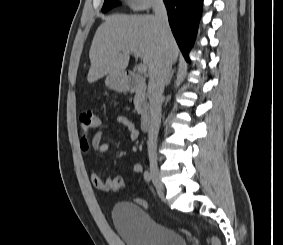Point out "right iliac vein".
I'll return each instance as SVG.
<instances>
[{
	"instance_id": "obj_1",
	"label": "right iliac vein",
	"mask_w": 283,
	"mask_h": 245,
	"mask_svg": "<svg viewBox=\"0 0 283 245\" xmlns=\"http://www.w3.org/2000/svg\"><path fill=\"white\" fill-rule=\"evenodd\" d=\"M150 174L152 181L160 194L164 195V186L160 180V174L155 160H150Z\"/></svg>"
}]
</instances>
